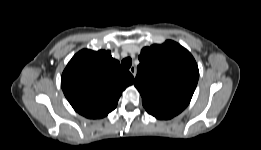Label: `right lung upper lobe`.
I'll return each mask as SVG.
<instances>
[{"label":"right lung upper lobe","mask_w":261,"mask_h":150,"mask_svg":"<svg viewBox=\"0 0 261 150\" xmlns=\"http://www.w3.org/2000/svg\"><path fill=\"white\" fill-rule=\"evenodd\" d=\"M133 82L132 74L105 50H81L61 77L62 90L71 106L91 119L102 118L115 109L122 91Z\"/></svg>","instance_id":"cb5924a9"}]
</instances>
